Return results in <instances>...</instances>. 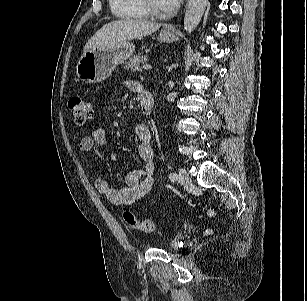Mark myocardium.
<instances>
[{
    "label": "myocardium",
    "mask_w": 307,
    "mask_h": 301,
    "mask_svg": "<svg viewBox=\"0 0 307 301\" xmlns=\"http://www.w3.org/2000/svg\"><path fill=\"white\" fill-rule=\"evenodd\" d=\"M144 10L146 11L147 15L152 17H165L169 14L168 11L161 12L156 10L150 3L149 0H140Z\"/></svg>",
    "instance_id": "myocardium-1"
}]
</instances>
